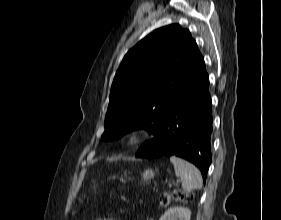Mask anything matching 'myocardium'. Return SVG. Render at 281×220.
I'll return each instance as SVG.
<instances>
[{"label":"myocardium","instance_id":"obj_1","mask_svg":"<svg viewBox=\"0 0 281 220\" xmlns=\"http://www.w3.org/2000/svg\"><path fill=\"white\" fill-rule=\"evenodd\" d=\"M145 139V133L142 129L132 128L125 132L122 137V142L124 146L131 148L136 147L141 144Z\"/></svg>","mask_w":281,"mask_h":220}]
</instances>
